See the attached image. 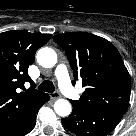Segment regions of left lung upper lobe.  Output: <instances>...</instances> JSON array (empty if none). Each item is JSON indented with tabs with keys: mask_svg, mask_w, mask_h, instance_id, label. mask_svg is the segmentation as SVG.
<instances>
[{
	"mask_svg": "<svg viewBox=\"0 0 136 136\" xmlns=\"http://www.w3.org/2000/svg\"><path fill=\"white\" fill-rule=\"evenodd\" d=\"M53 39L66 51L75 79L81 78L87 86L79 100H70L72 105L123 116L129 105L131 80L114 45L84 32L59 34Z\"/></svg>",
	"mask_w": 136,
	"mask_h": 136,
	"instance_id": "1",
	"label": "left lung upper lobe"
}]
</instances>
